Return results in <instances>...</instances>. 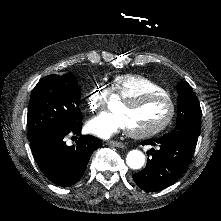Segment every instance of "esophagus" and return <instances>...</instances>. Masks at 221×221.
I'll list each match as a JSON object with an SVG mask.
<instances>
[{"label": "esophagus", "instance_id": "34e87169", "mask_svg": "<svg viewBox=\"0 0 221 221\" xmlns=\"http://www.w3.org/2000/svg\"><path fill=\"white\" fill-rule=\"evenodd\" d=\"M106 145L114 146V147H117V148H123L124 147V143L119 142V141H108V142H106Z\"/></svg>", "mask_w": 221, "mask_h": 221}]
</instances>
